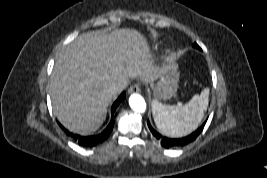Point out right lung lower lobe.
<instances>
[{"instance_id": "obj_1", "label": "right lung lower lobe", "mask_w": 267, "mask_h": 178, "mask_svg": "<svg viewBox=\"0 0 267 178\" xmlns=\"http://www.w3.org/2000/svg\"><path fill=\"white\" fill-rule=\"evenodd\" d=\"M126 94L125 92H123L118 99L114 102V104L112 105V117H111V121L108 124V126L105 128V130L103 132H101L98 135H94V136H80L77 134H73L70 133L68 130L64 129V131L66 132V134L71 137L72 139H74L76 142H78L80 145L85 146V147H92L95 146L101 142H103L111 133L113 126H114V120H113V116L114 113L117 109V107L119 106V104L125 99Z\"/></svg>"}]
</instances>
